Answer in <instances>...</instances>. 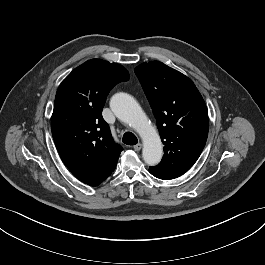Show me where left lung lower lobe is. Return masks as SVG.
<instances>
[{"instance_id":"0a47b994","label":"left lung lower lobe","mask_w":265,"mask_h":265,"mask_svg":"<svg viewBox=\"0 0 265 265\" xmlns=\"http://www.w3.org/2000/svg\"><path fill=\"white\" fill-rule=\"evenodd\" d=\"M149 171H150V173L152 174V175H154L155 177H157L156 175H155V173L151 170V169H149ZM158 178V177H157Z\"/></svg>"}]
</instances>
